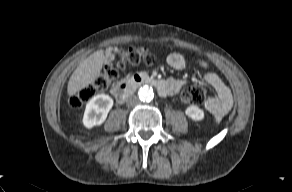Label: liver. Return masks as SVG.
Wrapping results in <instances>:
<instances>
[{
    "mask_svg": "<svg viewBox=\"0 0 292 192\" xmlns=\"http://www.w3.org/2000/svg\"><path fill=\"white\" fill-rule=\"evenodd\" d=\"M104 62V51L99 50L83 60L72 73L67 93L69 96L75 95L80 90L93 83L99 76Z\"/></svg>",
    "mask_w": 292,
    "mask_h": 192,
    "instance_id": "6515ba94",
    "label": "liver"
}]
</instances>
